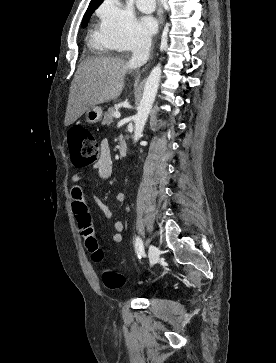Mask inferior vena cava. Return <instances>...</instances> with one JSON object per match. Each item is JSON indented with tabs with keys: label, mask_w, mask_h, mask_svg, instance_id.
I'll use <instances>...</instances> for the list:
<instances>
[{
	"label": "inferior vena cava",
	"mask_w": 276,
	"mask_h": 363,
	"mask_svg": "<svg viewBox=\"0 0 276 363\" xmlns=\"http://www.w3.org/2000/svg\"><path fill=\"white\" fill-rule=\"evenodd\" d=\"M152 39L148 34L139 35L132 47V57L129 61L133 67L144 65L149 58Z\"/></svg>",
	"instance_id": "inferior-vena-cava-1"
}]
</instances>
